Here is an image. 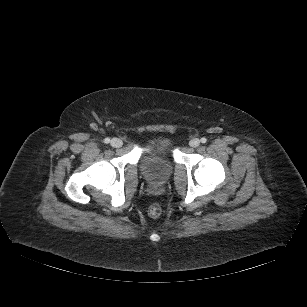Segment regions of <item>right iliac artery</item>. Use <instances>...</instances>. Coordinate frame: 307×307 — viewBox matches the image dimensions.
<instances>
[{"instance_id":"right-iliac-artery-1","label":"right iliac artery","mask_w":307,"mask_h":307,"mask_svg":"<svg viewBox=\"0 0 307 307\" xmlns=\"http://www.w3.org/2000/svg\"><path fill=\"white\" fill-rule=\"evenodd\" d=\"M110 142V139L109 138H105L104 139V143L108 144Z\"/></svg>"}]
</instances>
